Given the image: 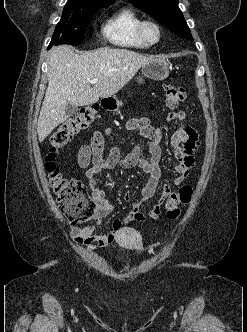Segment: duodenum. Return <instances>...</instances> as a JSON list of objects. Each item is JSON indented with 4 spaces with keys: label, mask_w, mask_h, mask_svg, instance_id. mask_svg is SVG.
Wrapping results in <instances>:
<instances>
[{
    "label": "duodenum",
    "mask_w": 247,
    "mask_h": 332,
    "mask_svg": "<svg viewBox=\"0 0 247 332\" xmlns=\"http://www.w3.org/2000/svg\"><path fill=\"white\" fill-rule=\"evenodd\" d=\"M111 105V101L109 100H103L102 101V107L103 108H108Z\"/></svg>",
    "instance_id": "duodenum-1"
}]
</instances>
